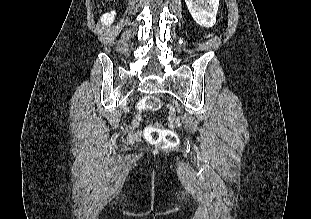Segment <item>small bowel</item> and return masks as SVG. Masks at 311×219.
<instances>
[{
    "label": "small bowel",
    "mask_w": 311,
    "mask_h": 219,
    "mask_svg": "<svg viewBox=\"0 0 311 219\" xmlns=\"http://www.w3.org/2000/svg\"><path fill=\"white\" fill-rule=\"evenodd\" d=\"M140 122H141L140 116H136L132 120L131 125H130L129 130H128V138L129 139H133L138 134L137 128L140 125Z\"/></svg>",
    "instance_id": "1"
}]
</instances>
